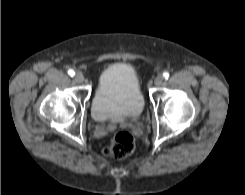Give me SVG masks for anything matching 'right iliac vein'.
<instances>
[{"mask_svg": "<svg viewBox=\"0 0 245 195\" xmlns=\"http://www.w3.org/2000/svg\"><path fill=\"white\" fill-rule=\"evenodd\" d=\"M74 79H75L76 82L82 83V82L84 81V76H83L82 73L77 72V73L75 74V76H74Z\"/></svg>", "mask_w": 245, "mask_h": 195, "instance_id": "obj_1", "label": "right iliac vein"}]
</instances>
